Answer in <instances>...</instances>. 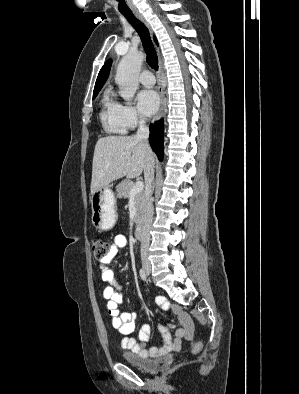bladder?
<instances>
[{"mask_svg": "<svg viewBox=\"0 0 299 394\" xmlns=\"http://www.w3.org/2000/svg\"><path fill=\"white\" fill-rule=\"evenodd\" d=\"M122 359L125 363L139 370L151 371L160 366L161 360L147 359L131 352L122 353Z\"/></svg>", "mask_w": 299, "mask_h": 394, "instance_id": "bladder-1", "label": "bladder"}]
</instances>
